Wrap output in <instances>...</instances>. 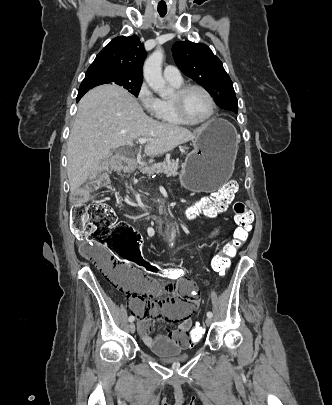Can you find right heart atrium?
I'll list each match as a JSON object with an SVG mask.
<instances>
[{
	"label": "right heart atrium",
	"mask_w": 332,
	"mask_h": 405,
	"mask_svg": "<svg viewBox=\"0 0 332 405\" xmlns=\"http://www.w3.org/2000/svg\"><path fill=\"white\" fill-rule=\"evenodd\" d=\"M137 99L150 116H157L159 99L153 94L147 83H142L137 91Z\"/></svg>",
	"instance_id": "right-heart-atrium-1"
}]
</instances>
